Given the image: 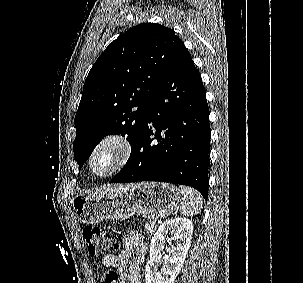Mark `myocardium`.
Listing matches in <instances>:
<instances>
[{"instance_id": "f54148a6", "label": "myocardium", "mask_w": 303, "mask_h": 283, "mask_svg": "<svg viewBox=\"0 0 303 283\" xmlns=\"http://www.w3.org/2000/svg\"><path fill=\"white\" fill-rule=\"evenodd\" d=\"M104 148H111L114 151V159L107 169L99 172L94 169V160L97 154ZM132 153V143L125 134L119 132L107 133L98 139L90 149L87 157V170L95 178L103 179L110 177L126 166Z\"/></svg>"}]
</instances>
